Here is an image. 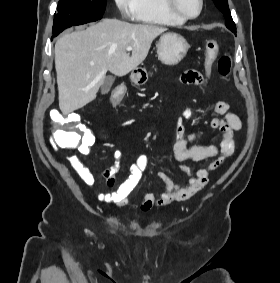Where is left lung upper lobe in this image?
Wrapping results in <instances>:
<instances>
[{
	"instance_id": "1",
	"label": "left lung upper lobe",
	"mask_w": 280,
	"mask_h": 283,
	"mask_svg": "<svg viewBox=\"0 0 280 283\" xmlns=\"http://www.w3.org/2000/svg\"><path fill=\"white\" fill-rule=\"evenodd\" d=\"M216 7L223 13V15L227 18L225 22L226 27L232 32L236 33V26L231 17V13L229 11L227 0H213Z\"/></svg>"
}]
</instances>
